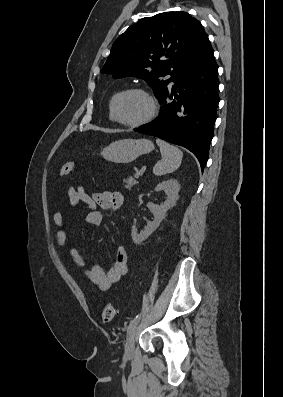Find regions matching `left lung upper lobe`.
Here are the masks:
<instances>
[{
    "instance_id": "left-lung-upper-lobe-1",
    "label": "left lung upper lobe",
    "mask_w": 283,
    "mask_h": 397,
    "mask_svg": "<svg viewBox=\"0 0 283 397\" xmlns=\"http://www.w3.org/2000/svg\"><path fill=\"white\" fill-rule=\"evenodd\" d=\"M211 46L201 23L186 12H164L130 26L113 43L101 73L144 79L160 100L181 70ZM171 74V79L160 77Z\"/></svg>"
}]
</instances>
